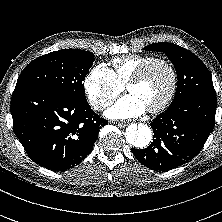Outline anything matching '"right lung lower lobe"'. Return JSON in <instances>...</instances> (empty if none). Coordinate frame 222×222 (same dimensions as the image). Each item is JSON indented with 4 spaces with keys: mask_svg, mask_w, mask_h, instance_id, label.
I'll list each match as a JSON object with an SVG mask.
<instances>
[{
    "mask_svg": "<svg viewBox=\"0 0 222 222\" xmlns=\"http://www.w3.org/2000/svg\"><path fill=\"white\" fill-rule=\"evenodd\" d=\"M10 107L14 133L29 158L54 171L80 163L108 123L87 100L42 88L15 89Z\"/></svg>",
    "mask_w": 222,
    "mask_h": 222,
    "instance_id": "obj_1",
    "label": "right lung lower lobe"
}]
</instances>
